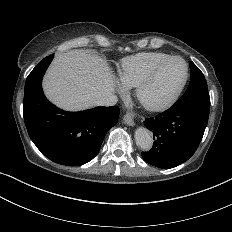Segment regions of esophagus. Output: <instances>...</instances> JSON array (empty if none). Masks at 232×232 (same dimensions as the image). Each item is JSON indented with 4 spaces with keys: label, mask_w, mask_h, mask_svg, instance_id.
Wrapping results in <instances>:
<instances>
[{
    "label": "esophagus",
    "mask_w": 232,
    "mask_h": 232,
    "mask_svg": "<svg viewBox=\"0 0 232 232\" xmlns=\"http://www.w3.org/2000/svg\"><path fill=\"white\" fill-rule=\"evenodd\" d=\"M135 116L136 114L133 111H127L123 117L124 123L129 126H133L135 124L134 123Z\"/></svg>",
    "instance_id": "1"
}]
</instances>
